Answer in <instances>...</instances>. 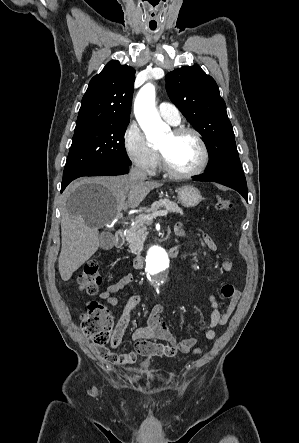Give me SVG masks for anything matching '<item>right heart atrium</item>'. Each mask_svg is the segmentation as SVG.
Masks as SVG:
<instances>
[{
    "instance_id": "right-heart-atrium-1",
    "label": "right heart atrium",
    "mask_w": 299,
    "mask_h": 443,
    "mask_svg": "<svg viewBox=\"0 0 299 443\" xmlns=\"http://www.w3.org/2000/svg\"><path fill=\"white\" fill-rule=\"evenodd\" d=\"M122 143L129 160L144 172H153L158 164V154L149 143L136 122L128 124L123 132Z\"/></svg>"
}]
</instances>
